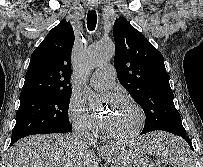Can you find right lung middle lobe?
Wrapping results in <instances>:
<instances>
[{
    "instance_id": "dd1d6c3e",
    "label": "right lung middle lobe",
    "mask_w": 203,
    "mask_h": 167,
    "mask_svg": "<svg viewBox=\"0 0 203 167\" xmlns=\"http://www.w3.org/2000/svg\"><path fill=\"white\" fill-rule=\"evenodd\" d=\"M71 92L36 96L20 101L11 141L33 134L65 133L72 130L68 118Z\"/></svg>"
}]
</instances>
